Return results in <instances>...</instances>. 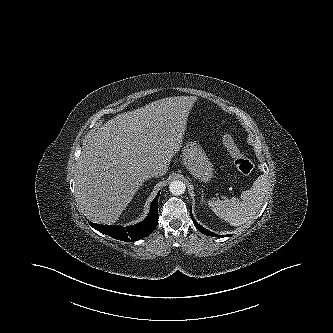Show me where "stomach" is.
I'll use <instances>...</instances> for the list:
<instances>
[{
	"label": "stomach",
	"instance_id": "obj_1",
	"mask_svg": "<svg viewBox=\"0 0 333 333\" xmlns=\"http://www.w3.org/2000/svg\"><path fill=\"white\" fill-rule=\"evenodd\" d=\"M183 164L200 182H208L213 177V166L198 141L188 140L183 148Z\"/></svg>",
	"mask_w": 333,
	"mask_h": 333
}]
</instances>
